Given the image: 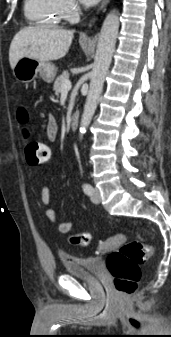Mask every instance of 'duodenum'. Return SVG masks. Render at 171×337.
<instances>
[{
    "mask_svg": "<svg viewBox=\"0 0 171 337\" xmlns=\"http://www.w3.org/2000/svg\"><path fill=\"white\" fill-rule=\"evenodd\" d=\"M78 125H79V114L75 112L70 119V128L72 130H76L78 128Z\"/></svg>",
    "mask_w": 171,
    "mask_h": 337,
    "instance_id": "obj_1",
    "label": "duodenum"
}]
</instances>
